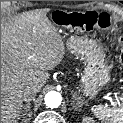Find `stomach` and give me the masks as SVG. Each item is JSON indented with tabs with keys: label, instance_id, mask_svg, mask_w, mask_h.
Masks as SVG:
<instances>
[{
	"label": "stomach",
	"instance_id": "0dacf381",
	"mask_svg": "<svg viewBox=\"0 0 123 123\" xmlns=\"http://www.w3.org/2000/svg\"><path fill=\"white\" fill-rule=\"evenodd\" d=\"M64 12L66 17L60 19L58 23L71 32L83 33L86 24L82 23L80 19L74 18L71 14L73 12ZM73 39L78 41L73 49L74 53L82 56L85 60L79 90L85 97L93 99L97 96L99 90L110 81L109 66L101 48L96 42L78 36Z\"/></svg>",
	"mask_w": 123,
	"mask_h": 123
}]
</instances>
